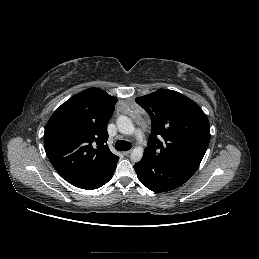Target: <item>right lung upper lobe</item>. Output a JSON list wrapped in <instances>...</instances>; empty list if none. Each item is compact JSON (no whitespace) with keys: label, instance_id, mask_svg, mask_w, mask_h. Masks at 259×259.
<instances>
[{"label":"right lung upper lobe","instance_id":"1","mask_svg":"<svg viewBox=\"0 0 259 259\" xmlns=\"http://www.w3.org/2000/svg\"><path fill=\"white\" fill-rule=\"evenodd\" d=\"M116 102L103 90L89 88L64 102L47 122L45 152L70 184L83 186L116 167L119 157L106 145L107 124Z\"/></svg>","mask_w":259,"mask_h":259}]
</instances>
